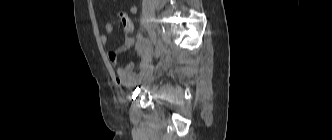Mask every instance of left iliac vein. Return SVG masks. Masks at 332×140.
I'll list each match as a JSON object with an SVG mask.
<instances>
[{
	"instance_id": "1",
	"label": "left iliac vein",
	"mask_w": 332,
	"mask_h": 140,
	"mask_svg": "<svg viewBox=\"0 0 332 140\" xmlns=\"http://www.w3.org/2000/svg\"><path fill=\"white\" fill-rule=\"evenodd\" d=\"M164 51V45L160 38L157 39L156 48H155V57H159Z\"/></svg>"
}]
</instances>
